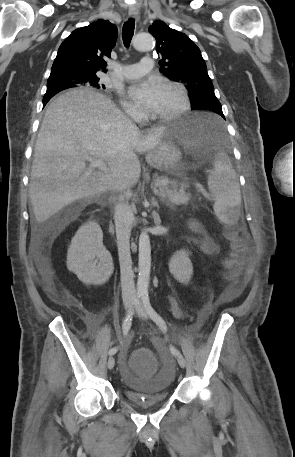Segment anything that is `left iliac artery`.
<instances>
[{
	"label": "left iliac artery",
	"mask_w": 295,
	"mask_h": 457,
	"mask_svg": "<svg viewBox=\"0 0 295 457\" xmlns=\"http://www.w3.org/2000/svg\"><path fill=\"white\" fill-rule=\"evenodd\" d=\"M141 299H142L144 308H145L146 312L148 313V315L150 316V318L159 326V328L162 331L166 332V330H167L166 323L163 320V318L152 308L148 294L143 293L141 296ZM170 351L175 356L181 355L180 351L173 346H170Z\"/></svg>",
	"instance_id": "left-iliac-artery-1"
}]
</instances>
